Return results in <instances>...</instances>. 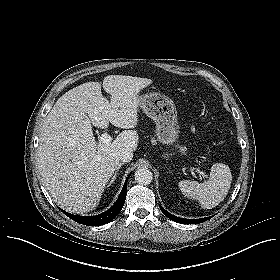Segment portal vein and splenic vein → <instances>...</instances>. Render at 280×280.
Listing matches in <instances>:
<instances>
[{"label":"portal vein and splenic vein","mask_w":280,"mask_h":280,"mask_svg":"<svg viewBox=\"0 0 280 280\" xmlns=\"http://www.w3.org/2000/svg\"><path fill=\"white\" fill-rule=\"evenodd\" d=\"M112 140V137L108 134V133H103L101 136H100V143H109L111 142ZM190 171L192 173V175L195 177V172L197 173H200L201 174V171L199 169H195V168H190Z\"/></svg>","instance_id":"18ae733b"}]
</instances>
